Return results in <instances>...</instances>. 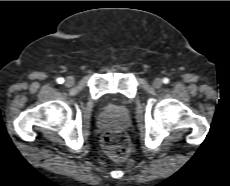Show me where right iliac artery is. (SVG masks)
<instances>
[{
    "mask_svg": "<svg viewBox=\"0 0 230 186\" xmlns=\"http://www.w3.org/2000/svg\"><path fill=\"white\" fill-rule=\"evenodd\" d=\"M57 82H58L59 84H62V83L64 82V79H63V78H58V79H57Z\"/></svg>",
    "mask_w": 230,
    "mask_h": 186,
    "instance_id": "obj_1",
    "label": "right iliac artery"
}]
</instances>
